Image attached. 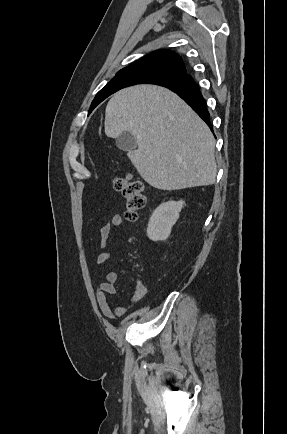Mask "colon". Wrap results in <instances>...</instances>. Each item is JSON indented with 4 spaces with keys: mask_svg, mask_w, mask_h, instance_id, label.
Listing matches in <instances>:
<instances>
[{
    "mask_svg": "<svg viewBox=\"0 0 287 434\" xmlns=\"http://www.w3.org/2000/svg\"><path fill=\"white\" fill-rule=\"evenodd\" d=\"M112 185L125 199L126 219L131 222L138 220L145 206L143 183L135 180L131 174H126L114 177Z\"/></svg>",
    "mask_w": 287,
    "mask_h": 434,
    "instance_id": "1",
    "label": "colon"
}]
</instances>
